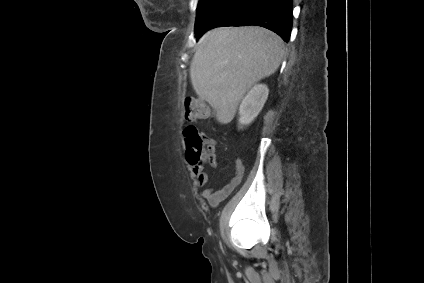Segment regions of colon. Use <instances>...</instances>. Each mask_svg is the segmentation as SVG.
<instances>
[{
  "label": "colon",
  "mask_w": 424,
  "mask_h": 283,
  "mask_svg": "<svg viewBox=\"0 0 424 283\" xmlns=\"http://www.w3.org/2000/svg\"><path fill=\"white\" fill-rule=\"evenodd\" d=\"M209 113L201 101L188 99L185 103V119L195 121L204 118ZM186 142L189 146L188 160L192 163L207 162L215 164V141L201 134L196 127L190 126L185 130Z\"/></svg>",
  "instance_id": "colon-1"
}]
</instances>
